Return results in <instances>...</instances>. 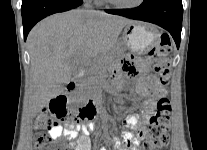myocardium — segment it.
Listing matches in <instances>:
<instances>
[{"instance_id": "f54148a6", "label": "myocardium", "mask_w": 207, "mask_h": 150, "mask_svg": "<svg viewBox=\"0 0 207 150\" xmlns=\"http://www.w3.org/2000/svg\"><path fill=\"white\" fill-rule=\"evenodd\" d=\"M106 1L118 9H125V10L136 9V8L140 7L141 5H143L145 2V0H137L133 4L125 5V4H120V3L116 2L115 0H106Z\"/></svg>"}]
</instances>
